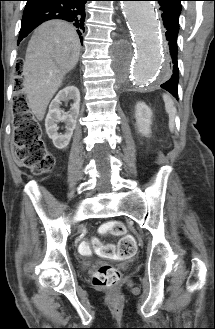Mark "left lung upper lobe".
Wrapping results in <instances>:
<instances>
[{
  "mask_svg": "<svg viewBox=\"0 0 215 329\" xmlns=\"http://www.w3.org/2000/svg\"><path fill=\"white\" fill-rule=\"evenodd\" d=\"M174 5L181 9V1L183 0H170Z\"/></svg>",
  "mask_w": 215,
  "mask_h": 329,
  "instance_id": "obj_1",
  "label": "left lung upper lobe"
}]
</instances>
